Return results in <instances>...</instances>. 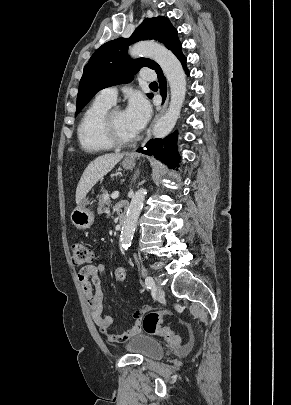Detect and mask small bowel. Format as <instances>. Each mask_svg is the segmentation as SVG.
<instances>
[{
	"label": "small bowel",
	"mask_w": 291,
	"mask_h": 405,
	"mask_svg": "<svg viewBox=\"0 0 291 405\" xmlns=\"http://www.w3.org/2000/svg\"><path fill=\"white\" fill-rule=\"evenodd\" d=\"M104 274V266L101 264H91L83 267L78 273V280L82 286L86 297L92 319L100 332L111 343H122L134 337L141 330L143 316L150 311L149 306H143L133 314V326L122 332L114 333L110 331L113 318L110 315L102 316L104 294L101 288V276Z\"/></svg>",
	"instance_id": "c3829d8e"
}]
</instances>
